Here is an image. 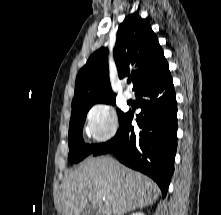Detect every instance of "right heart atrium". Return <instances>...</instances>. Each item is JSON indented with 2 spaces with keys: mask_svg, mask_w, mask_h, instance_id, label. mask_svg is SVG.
Returning <instances> with one entry per match:
<instances>
[{
  "mask_svg": "<svg viewBox=\"0 0 221 215\" xmlns=\"http://www.w3.org/2000/svg\"><path fill=\"white\" fill-rule=\"evenodd\" d=\"M87 130L96 142L111 139L118 130V121L114 108L107 103L93 105L86 114Z\"/></svg>",
  "mask_w": 221,
  "mask_h": 215,
  "instance_id": "right-heart-atrium-1",
  "label": "right heart atrium"
}]
</instances>
